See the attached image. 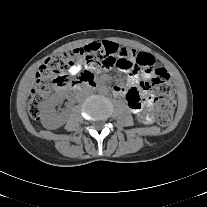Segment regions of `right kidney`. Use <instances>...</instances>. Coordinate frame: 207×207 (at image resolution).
Here are the masks:
<instances>
[{
	"instance_id": "right-kidney-1",
	"label": "right kidney",
	"mask_w": 207,
	"mask_h": 207,
	"mask_svg": "<svg viewBox=\"0 0 207 207\" xmlns=\"http://www.w3.org/2000/svg\"><path fill=\"white\" fill-rule=\"evenodd\" d=\"M62 97L59 94H55L45 105V108L41 115V123L47 129H56L64 125L66 118L63 114H58L55 107L61 101Z\"/></svg>"
}]
</instances>
